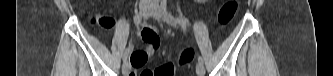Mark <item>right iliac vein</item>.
I'll use <instances>...</instances> for the list:
<instances>
[{
  "label": "right iliac vein",
  "instance_id": "1",
  "mask_svg": "<svg viewBox=\"0 0 333 76\" xmlns=\"http://www.w3.org/2000/svg\"><path fill=\"white\" fill-rule=\"evenodd\" d=\"M153 6L150 4H144L140 6V12L144 20L148 19L151 14ZM130 69V64L128 62H124L122 66V73L127 75Z\"/></svg>",
  "mask_w": 333,
  "mask_h": 76
}]
</instances>
